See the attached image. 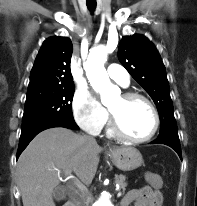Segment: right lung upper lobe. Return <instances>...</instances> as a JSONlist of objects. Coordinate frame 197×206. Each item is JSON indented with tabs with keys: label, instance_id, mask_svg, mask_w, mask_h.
Wrapping results in <instances>:
<instances>
[{
	"label": "right lung upper lobe",
	"instance_id": "right-lung-upper-lobe-1",
	"mask_svg": "<svg viewBox=\"0 0 197 206\" xmlns=\"http://www.w3.org/2000/svg\"><path fill=\"white\" fill-rule=\"evenodd\" d=\"M72 51L67 37L46 39L31 70L28 89L74 85L70 70Z\"/></svg>",
	"mask_w": 197,
	"mask_h": 206
}]
</instances>
